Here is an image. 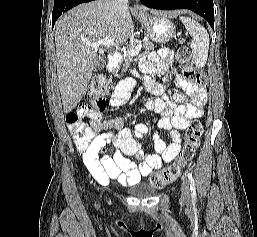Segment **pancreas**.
Returning a JSON list of instances; mask_svg holds the SVG:
<instances>
[{
  "mask_svg": "<svg viewBox=\"0 0 257 237\" xmlns=\"http://www.w3.org/2000/svg\"><path fill=\"white\" fill-rule=\"evenodd\" d=\"M138 42L136 41H132L130 42L128 45H127V49L123 55V58H124V63L127 65L129 63V61L131 60V56L129 55V50L134 48L136 45H137ZM142 46L145 50H153L155 48V45L154 43H152L151 41L149 40H145L143 41L142 43Z\"/></svg>",
  "mask_w": 257,
  "mask_h": 237,
  "instance_id": "1",
  "label": "pancreas"
}]
</instances>
